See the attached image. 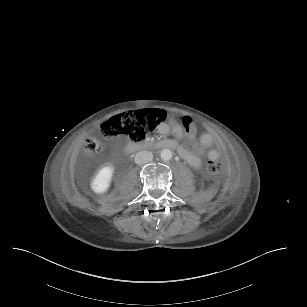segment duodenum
Segmentation results:
<instances>
[{"mask_svg":"<svg viewBox=\"0 0 307 307\" xmlns=\"http://www.w3.org/2000/svg\"><path fill=\"white\" fill-rule=\"evenodd\" d=\"M152 147H160L163 149H174V143L170 140L167 141H152L143 142L138 144H130L128 146L129 150H145Z\"/></svg>","mask_w":307,"mask_h":307,"instance_id":"410a0bca","label":"duodenum"}]
</instances>
